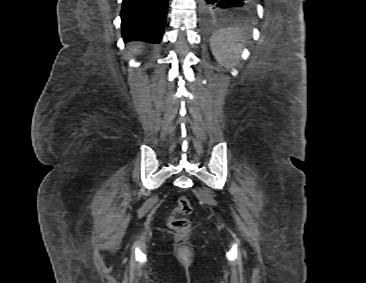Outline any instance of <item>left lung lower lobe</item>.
Returning a JSON list of instances; mask_svg holds the SVG:
<instances>
[{
  "mask_svg": "<svg viewBox=\"0 0 366 283\" xmlns=\"http://www.w3.org/2000/svg\"><path fill=\"white\" fill-rule=\"evenodd\" d=\"M257 0H199L202 12L208 16H224L241 10H252Z\"/></svg>",
  "mask_w": 366,
  "mask_h": 283,
  "instance_id": "0a47b994",
  "label": "left lung lower lobe"
}]
</instances>
